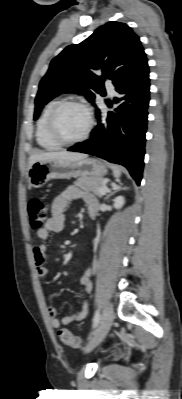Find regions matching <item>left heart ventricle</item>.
I'll use <instances>...</instances> for the list:
<instances>
[{
	"instance_id": "1",
	"label": "left heart ventricle",
	"mask_w": 182,
	"mask_h": 399,
	"mask_svg": "<svg viewBox=\"0 0 182 399\" xmlns=\"http://www.w3.org/2000/svg\"><path fill=\"white\" fill-rule=\"evenodd\" d=\"M88 119L85 111L78 106L63 107L56 117V126L65 139H75L86 130Z\"/></svg>"
}]
</instances>
